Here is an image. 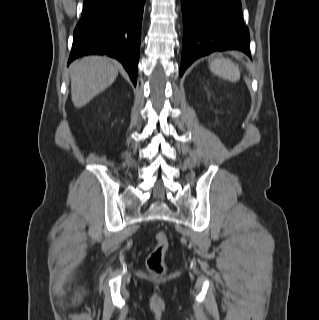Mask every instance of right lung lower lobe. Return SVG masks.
Instances as JSON below:
<instances>
[{"instance_id":"right-lung-lower-lobe-1","label":"right lung lower lobe","mask_w":319,"mask_h":320,"mask_svg":"<svg viewBox=\"0 0 319 320\" xmlns=\"http://www.w3.org/2000/svg\"><path fill=\"white\" fill-rule=\"evenodd\" d=\"M146 0H84L69 61L88 54L118 59L136 85L141 24Z\"/></svg>"}]
</instances>
